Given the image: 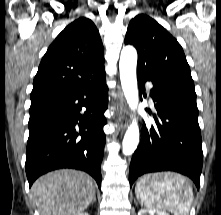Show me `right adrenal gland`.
<instances>
[{
    "mask_svg": "<svg viewBox=\"0 0 221 215\" xmlns=\"http://www.w3.org/2000/svg\"><path fill=\"white\" fill-rule=\"evenodd\" d=\"M95 200H96V197H94L93 201H95Z\"/></svg>",
    "mask_w": 221,
    "mask_h": 215,
    "instance_id": "2a0ac1e0",
    "label": "right adrenal gland"
}]
</instances>
